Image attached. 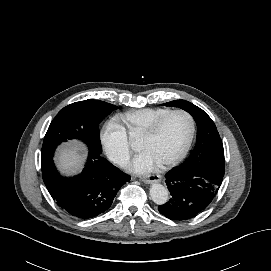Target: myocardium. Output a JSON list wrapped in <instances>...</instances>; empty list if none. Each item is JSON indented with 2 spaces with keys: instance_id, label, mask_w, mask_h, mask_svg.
I'll return each instance as SVG.
<instances>
[{
  "instance_id": "obj_1",
  "label": "myocardium",
  "mask_w": 271,
  "mask_h": 271,
  "mask_svg": "<svg viewBox=\"0 0 271 271\" xmlns=\"http://www.w3.org/2000/svg\"><path fill=\"white\" fill-rule=\"evenodd\" d=\"M178 113L185 114L190 120L189 137H188L185 145L183 146V148L179 151V153H177L172 158H169L163 162H159L160 166L175 165V164L179 163L187 155V153L189 152V150L193 144L195 133H196V121H195L194 116L189 111H187L185 109H182V108L173 109L170 112H168L167 114L160 117L155 122H153L151 125H149L144 131H142V136H147V137L152 136L158 132V130L162 127V125L166 122V120L168 118H170L171 116L178 114Z\"/></svg>"
}]
</instances>
